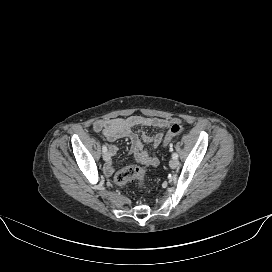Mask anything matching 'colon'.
<instances>
[{
    "label": "colon",
    "mask_w": 272,
    "mask_h": 272,
    "mask_svg": "<svg viewBox=\"0 0 272 272\" xmlns=\"http://www.w3.org/2000/svg\"><path fill=\"white\" fill-rule=\"evenodd\" d=\"M183 128L180 124H173L166 133L163 144L168 145L173 138L182 133ZM145 171L137 165H129L118 171L114 177V182L118 186H124L131 181H137L140 185L144 184Z\"/></svg>",
    "instance_id": "obj_1"
}]
</instances>
